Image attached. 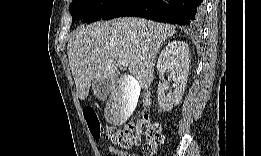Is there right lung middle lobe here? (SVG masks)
<instances>
[{"instance_id": "1", "label": "right lung middle lobe", "mask_w": 261, "mask_h": 156, "mask_svg": "<svg viewBox=\"0 0 261 156\" xmlns=\"http://www.w3.org/2000/svg\"><path fill=\"white\" fill-rule=\"evenodd\" d=\"M119 0H73L69 11L72 21L82 20L90 23L100 20Z\"/></svg>"}]
</instances>
